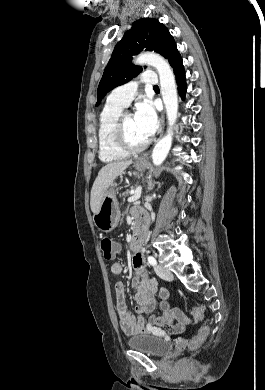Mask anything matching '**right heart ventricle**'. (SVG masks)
I'll return each mask as SVG.
<instances>
[{
	"mask_svg": "<svg viewBox=\"0 0 265 390\" xmlns=\"http://www.w3.org/2000/svg\"><path fill=\"white\" fill-rule=\"evenodd\" d=\"M122 111L123 107L107 102L100 113L98 145L99 158L103 162H117L127 157V154L118 148L114 139L115 125Z\"/></svg>",
	"mask_w": 265,
	"mask_h": 390,
	"instance_id": "1",
	"label": "right heart ventricle"
}]
</instances>
